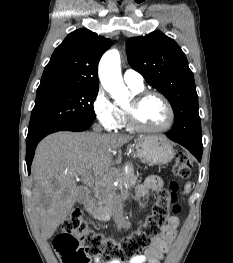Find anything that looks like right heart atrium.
I'll list each match as a JSON object with an SVG mask.
<instances>
[{
	"mask_svg": "<svg viewBox=\"0 0 233 263\" xmlns=\"http://www.w3.org/2000/svg\"><path fill=\"white\" fill-rule=\"evenodd\" d=\"M93 111L98 122L106 131H115L119 128L121 117L117 107L101 86L97 88L93 99Z\"/></svg>",
	"mask_w": 233,
	"mask_h": 263,
	"instance_id": "d8ad5b80",
	"label": "right heart atrium"
}]
</instances>
